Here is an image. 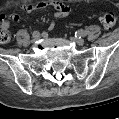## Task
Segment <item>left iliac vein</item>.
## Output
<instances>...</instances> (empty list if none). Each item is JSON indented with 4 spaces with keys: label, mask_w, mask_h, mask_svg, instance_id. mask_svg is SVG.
<instances>
[{
    "label": "left iliac vein",
    "mask_w": 119,
    "mask_h": 119,
    "mask_svg": "<svg viewBox=\"0 0 119 119\" xmlns=\"http://www.w3.org/2000/svg\"><path fill=\"white\" fill-rule=\"evenodd\" d=\"M70 40L77 45H83L85 43L84 39L82 38H77V37H71Z\"/></svg>",
    "instance_id": "4c4485c4"
}]
</instances>
